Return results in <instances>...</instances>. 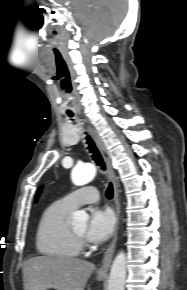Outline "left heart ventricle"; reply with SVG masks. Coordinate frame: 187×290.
Segmentation results:
<instances>
[{
    "mask_svg": "<svg viewBox=\"0 0 187 290\" xmlns=\"http://www.w3.org/2000/svg\"><path fill=\"white\" fill-rule=\"evenodd\" d=\"M72 229L79 235L85 236L86 235V225H77L72 227Z\"/></svg>",
    "mask_w": 187,
    "mask_h": 290,
    "instance_id": "left-heart-ventricle-1",
    "label": "left heart ventricle"
}]
</instances>
